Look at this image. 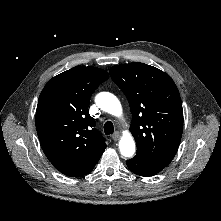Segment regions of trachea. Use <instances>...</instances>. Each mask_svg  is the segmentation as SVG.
Wrapping results in <instances>:
<instances>
[{"mask_svg":"<svg viewBox=\"0 0 221 221\" xmlns=\"http://www.w3.org/2000/svg\"><path fill=\"white\" fill-rule=\"evenodd\" d=\"M114 131L113 123L111 121H107L104 124V132L106 135L112 134Z\"/></svg>","mask_w":221,"mask_h":221,"instance_id":"obj_1","label":"trachea"}]
</instances>
